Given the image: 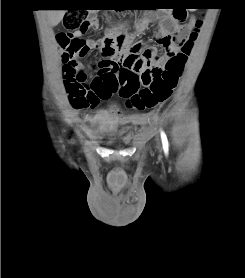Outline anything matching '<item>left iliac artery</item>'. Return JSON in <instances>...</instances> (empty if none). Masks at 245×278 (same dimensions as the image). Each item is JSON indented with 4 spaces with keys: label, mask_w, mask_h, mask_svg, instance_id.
<instances>
[{
    "label": "left iliac artery",
    "mask_w": 245,
    "mask_h": 278,
    "mask_svg": "<svg viewBox=\"0 0 245 278\" xmlns=\"http://www.w3.org/2000/svg\"><path fill=\"white\" fill-rule=\"evenodd\" d=\"M161 140H162V145H163L164 152L167 155V153H168V140H167V137H166V135L163 131H161Z\"/></svg>",
    "instance_id": "44dca946"
}]
</instances>
